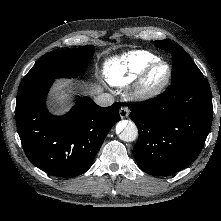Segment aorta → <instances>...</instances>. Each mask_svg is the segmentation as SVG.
I'll list each match as a JSON object with an SVG mask.
<instances>
[{
  "mask_svg": "<svg viewBox=\"0 0 221 221\" xmlns=\"http://www.w3.org/2000/svg\"><path fill=\"white\" fill-rule=\"evenodd\" d=\"M116 133L124 142H133L138 137V128L132 121L122 120L116 125Z\"/></svg>",
  "mask_w": 221,
  "mask_h": 221,
  "instance_id": "1",
  "label": "aorta"
}]
</instances>
